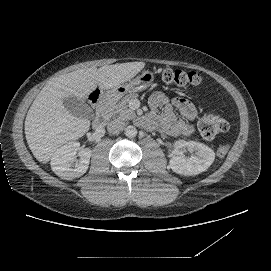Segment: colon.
Returning a JSON list of instances; mask_svg holds the SVG:
<instances>
[{"label":"colon","mask_w":271,"mask_h":271,"mask_svg":"<svg viewBox=\"0 0 271 271\" xmlns=\"http://www.w3.org/2000/svg\"><path fill=\"white\" fill-rule=\"evenodd\" d=\"M163 82L177 90H185L191 86H197L201 83V77L195 72H186L182 70L165 69L162 74ZM99 91L91 95V99L96 101L99 97ZM198 129L201 135L206 139H212L218 134L225 132L229 128V122L219 113H211L202 117L198 121ZM228 144H221L217 148V155L224 157L229 151Z\"/></svg>","instance_id":"colon-1"}]
</instances>
